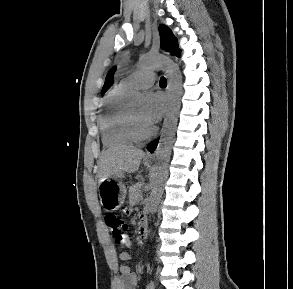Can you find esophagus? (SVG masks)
<instances>
[{"label": "esophagus", "instance_id": "obj_1", "mask_svg": "<svg viewBox=\"0 0 293 289\" xmlns=\"http://www.w3.org/2000/svg\"><path fill=\"white\" fill-rule=\"evenodd\" d=\"M166 93H169V86L166 88ZM163 138V132L161 131L160 134L152 140L150 143L146 146V154H145V160L147 161H153L155 159V155L157 152V149L159 148L161 141Z\"/></svg>", "mask_w": 293, "mask_h": 289}]
</instances>
